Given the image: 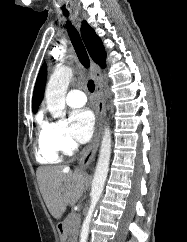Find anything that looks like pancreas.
I'll list each match as a JSON object with an SVG mask.
<instances>
[{"instance_id":"obj_1","label":"pancreas","mask_w":187,"mask_h":242,"mask_svg":"<svg viewBox=\"0 0 187 242\" xmlns=\"http://www.w3.org/2000/svg\"><path fill=\"white\" fill-rule=\"evenodd\" d=\"M80 215L71 213L64 221L66 233L69 236V242H77L80 229Z\"/></svg>"}]
</instances>
